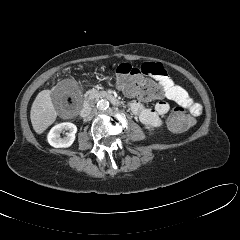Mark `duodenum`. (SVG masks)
Instances as JSON below:
<instances>
[{
  "mask_svg": "<svg viewBox=\"0 0 240 240\" xmlns=\"http://www.w3.org/2000/svg\"><path fill=\"white\" fill-rule=\"evenodd\" d=\"M96 99H106V100H109L111 103H113L115 105L119 104L118 98L112 93H109V92L89 93L85 98L83 107H82L81 112H80L82 117L87 116V114L90 111L92 103Z\"/></svg>",
  "mask_w": 240,
  "mask_h": 240,
  "instance_id": "duodenum-1",
  "label": "duodenum"
}]
</instances>
